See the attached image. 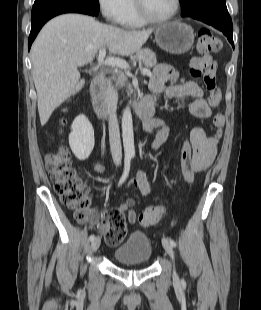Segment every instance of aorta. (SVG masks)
Listing matches in <instances>:
<instances>
[{
  "mask_svg": "<svg viewBox=\"0 0 261 310\" xmlns=\"http://www.w3.org/2000/svg\"><path fill=\"white\" fill-rule=\"evenodd\" d=\"M122 138L126 156L135 155L133 121L130 108H126L122 115Z\"/></svg>",
  "mask_w": 261,
  "mask_h": 310,
  "instance_id": "1",
  "label": "aorta"
}]
</instances>
